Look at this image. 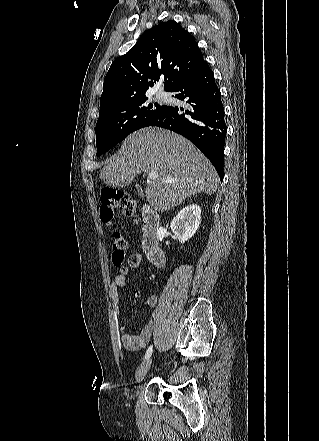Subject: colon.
<instances>
[{
  "label": "colon",
  "mask_w": 319,
  "mask_h": 441,
  "mask_svg": "<svg viewBox=\"0 0 319 441\" xmlns=\"http://www.w3.org/2000/svg\"><path fill=\"white\" fill-rule=\"evenodd\" d=\"M120 209L124 214L133 216L135 214V203L125 193L115 189H106L101 195L100 218L106 224H111L114 219V210ZM112 258L115 265H120L123 261L127 241L122 233L115 231L111 241Z\"/></svg>",
  "instance_id": "5ec220e1"
}]
</instances>
